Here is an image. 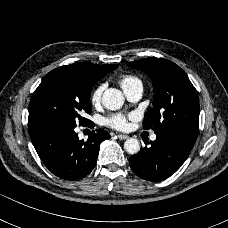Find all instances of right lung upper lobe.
<instances>
[{
  "mask_svg": "<svg viewBox=\"0 0 228 228\" xmlns=\"http://www.w3.org/2000/svg\"><path fill=\"white\" fill-rule=\"evenodd\" d=\"M71 65L79 66V67L85 68L91 72L98 73V74H103V73L107 74L117 68V65H112V64L111 65H97V64H90V63H85V62L74 63Z\"/></svg>",
  "mask_w": 228,
  "mask_h": 228,
  "instance_id": "1",
  "label": "right lung upper lobe"
}]
</instances>
